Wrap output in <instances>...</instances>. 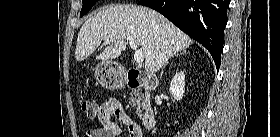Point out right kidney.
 Segmentation results:
<instances>
[{
  "label": "right kidney",
  "instance_id": "obj_1",
  "mask_svg": "<svg viewBox=\"0 0 280 137\" xmlns=\"http://www.w3.org/2000/svg\"><path fill=\"white\" fill-rule=\"evenodd\" d=\"M169 91L176 100H181L185 91V75L182 71L177 72L170 84Z\"/></svg>",
  "mask_w": 280,
  "mask_h": 137
}]
</instances>
